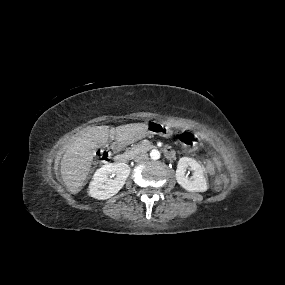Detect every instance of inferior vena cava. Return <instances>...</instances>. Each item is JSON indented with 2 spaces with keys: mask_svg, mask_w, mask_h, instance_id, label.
Returning <instances> with one entry per match:
<instances>
[{
  "mask_svg": "<svg viewBox=\"0 0 285 285\" xmlns=\"http://www.w3.org/2000/svg\"><path fill=\"white\" fill-rule=\"evenodd\" d=\"M148 159V154L143 152V153H139L138 155L135 156L134 161L135 162H141V161H145Z\"/></svg>",
  "mask_w": 285,
  "mask_h": 285,
  "instance_id": "inferior-vena-cava-1",
  "label": "inferior vena cava"
}]
</instances>
